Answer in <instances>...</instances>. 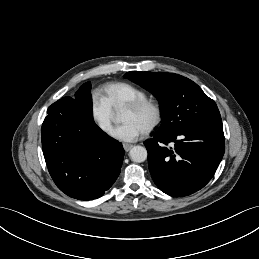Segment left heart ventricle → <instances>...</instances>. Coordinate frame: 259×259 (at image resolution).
I'll return each mask as SVG.
<instances>
[{"mask_svg": "<svg viewBox=\"0 0 259 259\" xmlns=\"http://www.w3.org/2000/svg\"><path fill=\"white\" fill-rule=\"evenodd\" d=\"M120 119L121 121H131L141 130H144L153 120V111L149 108H145L138 112L122 110L120 113Z\"/></svg>", "mask_w": 259, "mask_h": 259, "instance_id": "b2bd125f", "label": "left heart ventricle"}]
</instances>
